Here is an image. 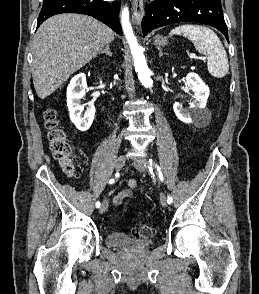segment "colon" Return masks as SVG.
<instances>
[{
    "instance_id": "colon-1",
    "label": "colon",
    "mask_w": 259,
    "mask_h": 294,
    "mask_svg": "<svg viewBox=\"0 0 259 294\" xmlns=\"http://www.w3.org/2000/svg\"><path fill=\"white\" fill-rule=\"evenodd\" d=\"M48 139L51 151L62 165L63 170L73 175L74 166L71 160L72 146L66 138L64 131L58 126L57 115L54 110L48 109L44 113ZM156 233V226L151 224H140L133 234L140 238H150Z\"/></svg>"
}]
</instances>
